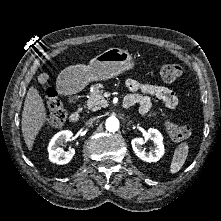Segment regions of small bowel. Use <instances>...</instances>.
I'll return each mask as SVG.
<instances>
[{
  "instance_id": "small-bowel-1",
  "label": "small bowel",
  "mask_w": 221,
  "mask_h": 221,
  "mask_svg": "<svg viewBox=\"0 0 221 221\" xmlns=\"http://www.w3.org/2000/svg\"><path fill=\"white\" fill-rule=\"evenodd\" d=\"M125 84L132 93L124 98L123 105H127L128 109L139 105V111L143 115H157L152 109V98L162 102L168 109H174L178 104L177 96L167 87L132 78L127 79Z\"/></svg>"
}]
</instances>
